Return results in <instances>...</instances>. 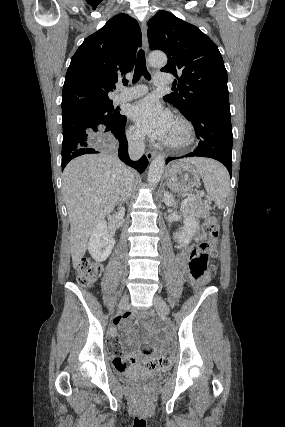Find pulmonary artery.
<instances>
[{
	"mask_svg": "<svg viewBox=\"0 0 285 427\" xmlns=\"http://www.w3.org/2000/svg\"><path fill=\"white\" fill-rule=\"evenodd\" d=\"M172 83V79L167 74H157L154 78V84L156 86H166ZM148 91L146 85H137L133 88H122L119 94L115 98L116 103L130 101L145 95Z\"/></svg>",
	"mask_w": 285,
	"mask_h": 427,
	"instance_id": "pulmonary-artery-1",
	"label": "pulmonary artery"
}]
</instances>
